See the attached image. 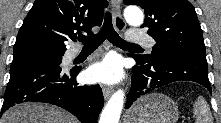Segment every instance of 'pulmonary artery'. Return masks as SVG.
<instances>
[{
	"instance_id": "e3ab8cb5",
	"label": "pulmonary artery",
	"mask_w": 221,
	"mask_h": 123,
	"mask_svg": "<svg viewBox=\"0 0 221 123\" xmlns=\"http://www.w3.org/2000/svg\"><path fill=\"white\" fill-rule=\"evenodd\" d=\"M127 40L132 43H144L149 48H152L155 44L154 40L148 36L145 32L139 29H132L127 35ZM79 49H72L68 53L69 58L75 57L79 53Z\"/></svg>"
}]
</instances>
